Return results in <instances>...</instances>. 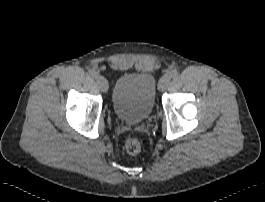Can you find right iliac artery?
<instances>
[{
  "label": "right iliac artery",
  "mask_w": 265,
  "mask_h": 202,
  "mask_svg": "<svg viewBox=\"0 0 265 202\" xmlns=\"http://www.w3.org/2000/svg\"><path fill=\"white\" fill-rule=\"evenodd\" d=\"M88 75H89V77H91V78H96V77L98 76V74H97L95 71H93V70H90V71L88 72Z\"/></svg>",
  "instance_id": "1"
}]
</instances>
